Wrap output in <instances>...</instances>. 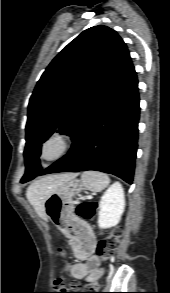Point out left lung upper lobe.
<instances>
[{
    "label": "left lung upper lobe",
    "instance_id": "5c2ea615",
    "mask_svg": "<svg viewBox=\"0 0 170 293\" xmlns=\"http://www.w3.org/2000/svg\"><path fill=\"white\" fill-rule=\"evenodd\" d=\"M129 60L123 40L102 25L83 31L52 60L29 101L21 183L42 171L41 144L56 131L73 139Z\"/></svg>",
    "mask_w": 170,
    "mask_h": 293
}]
</instances>
